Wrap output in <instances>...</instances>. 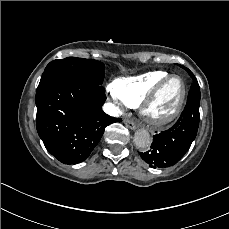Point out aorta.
Wrapping results in <instances>:
<instances>
[{
  "mask_svg": "<svg viewBox=\"0 0 229 229\" xmlns=\"http://www.w3.org/2000/svg\"><path fill=\"white\" fill-rule=\"evenodd\" d=\"M133 141L138 148L145 149L150 144V134L146 130L140 129L135 132Z\"/></svg>",
  "mask_w": 229,
  "mask_h": 229,
  "instance_id": "aorta-1",
  "label": "aorta"
}]
</instances>
